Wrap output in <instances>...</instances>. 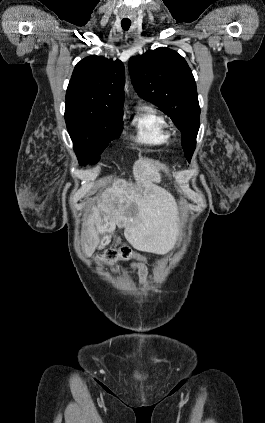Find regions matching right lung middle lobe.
I'll list each match as a JSON object with an SVG mask.
<instances>
[{
  "label": "right lung middle lobe",
  "instance_id": "right-lung-middle-lobe-1",
  "mask_svg": "<svg viewBox=\"0 0 265 423\" xmlns=\"http://www.w3.org/2000/svg\"><path fill=\"white\" fill-rule=\"evenodd\" d=\"M122 116L80 107L65 108L67 130L81 165L89 161L97 162L108 144L120 136Z\"/></svg>",
  "mask_w": 265,
  "mask_h": 423
}]
</instances>
